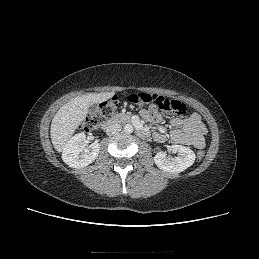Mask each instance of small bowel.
Returning <instances> with one entry per match:
<instances>
[{"mask_svg":"<svg viewBox=\"0 0 259 259\" xmlns=\"http://www.w3.org/2000/svg\"><path fill=\"white\" fill-rule=\"evenodd\" d=\"M140 115L151 123H158L162 118L154 105L149 106L148 109L141 110ZM170 125L172 130L168 135L163 131L154 133V139L157 142L171 141L177 144L190 145L198 149L205 146L204 136L207 133V128L198 113H191L185 118L174 117L171 119Z\"/></svg>","mask_w":259,"mask_h":259,"instance_id":"obj_1","label":"small bowel"}]
</instances>
